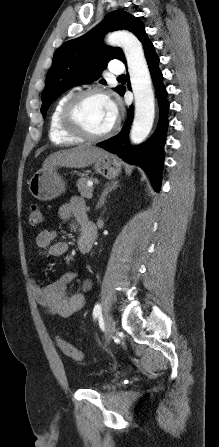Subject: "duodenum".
I'll list each match as a JSON object with an SVG mask.
<instances>
[{"label":"duodenum","mask_w":219,"mask_h":447,"mask_svg":"<svg viewBox=\"0 0 219 447\" xmlns=\"http://www.w3.org/2000/svg\"><path fill=\"white\" fill-rule=\"evenodd\" d=\"M82 243H81V251L83 253H87L91 250L93 242L96 238V226L95 224L86 217L82 222Z\"/></svg>","instance_id":"duodenum-1"}]
</instances>
